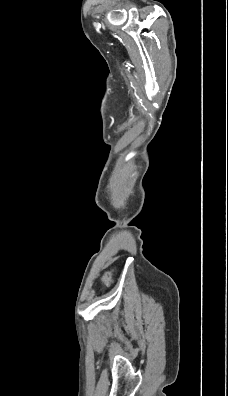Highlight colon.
I'll return each mask as SVG.
<instances>
[{
	"mask_svg": "<svg viewBox=\"0 0 228 396\" xmlns=\"http://www.w3.org/2000/svg\"><path fill=\"white\" fill-rule=\"evenodd\" d=\"M102 282L105 285H109L112 282V272L111 271L104 273V275L102 276Z\"/></svg>",
	"mask_w": 228,
	"mask_h": 396,
	"instance_id": "1",
	"label": "colon"
}]
</instances>
